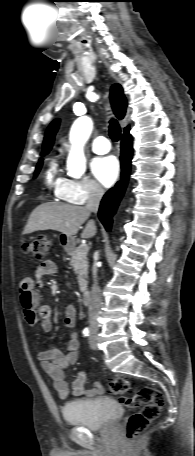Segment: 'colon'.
I'll return each instance as SVG.
<instances>
[{
	"label": "colon",
	"instance_id": "colon-1",
	"mask_svg": "<svg viewBox=\"0 0 195 456\" xmlns=\"http://www.w3.org/2000/svg\"><path fill=\"white\" fill-rule=\"evenodd\" d=\"M52 246L47 236H38L25 242L23 251L36 259L45 258ZM109 388L121 403L130 408L141 407V410L130 416L126 427L128 440H135L148 425L159 416L164 405V394L153 387H143L131 394L130 383L127 378L115 376L109 379Z\"/></svg>",
	"mask_w": 195,
	"mask_h": 456
}]
</instances>
